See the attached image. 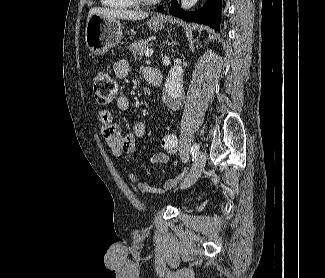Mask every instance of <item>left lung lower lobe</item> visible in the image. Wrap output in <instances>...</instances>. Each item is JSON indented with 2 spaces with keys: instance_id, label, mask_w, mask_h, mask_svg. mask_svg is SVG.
Instances as JSON below:
<instances>
[{
  "instance_id": "0a47b994",
  "label": "left lung lower lobe",
  "mask_w": 325,
  "mask_h": 278,
  "mask_svg": "<svg viewBox=\"0 0 325 278\" xmlns=\"http://www.w3.org/2000/svg\"><path fill=\"white\" fill-rule=\"evenodd\" d=\"M221 9V0H206L202 9L195 12H186L181 9L177 0H174L169 11L172 15L185 21L203 23L218 30ZM158 11H163V6L159 7Z\"/></svg>"
}]
</instances>
